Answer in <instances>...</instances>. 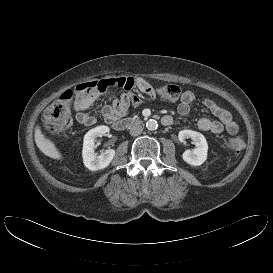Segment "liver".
Segmentation results:
<instances>
[{
    "mask_svg": "<svg viewBox=\"0 0 273 273\" xmlns=\"http://www.w3.org/2000/svg\"><path fill=\"white\" fill-rule=\"evenodd\" d=\"M34 138L37 147L48 157L60 160L62 159V154L56 147L55 143L42 133L41 127L36 126L34 131Z\"/></svg>",
    "mask_w": 273,
    "mask_h": 273,
    "instance_id": "liver-1",
    "label": "liver"
}]
</instances>
